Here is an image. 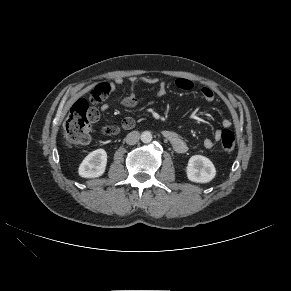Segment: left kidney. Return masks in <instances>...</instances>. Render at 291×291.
I'll return each mask as SVG.
<instances>
[{
	"instance_id": "obj_1",
	"label": "left kidney",
	"mask_w": 291,
	"mask_h": 291,
	"mask_svg": "<svg viewBox=\"0 0 291 291\" xmlns=\"http://www.w3.org/2000/svg\"><path fill=\"white\" fill-rule=\"evenodd\" d=\"M187 177L196 183H208L216 175L214 164L202 155L192 156L186 167Z\"/></svg>"
}]
</instances>
